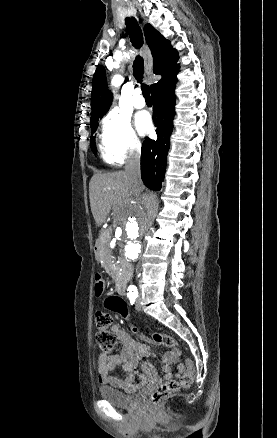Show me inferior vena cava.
<instances>
[{"instance_id": "602c4592", "label": "inferior vena cava", "mask_w": 277, "mask_h": 438, "mask_svg": "<svg viewBox=\"0 0 277 438\" xmlns=\"http://www.w3.org/2000/svg\"><path fill=\"white\" fill-rule=\"evenodd\" d=\"M125 172L131 188H134V190L142 188L139 152H134V154L129 156L128 160H126Z\"/></svg>"}]
</instances>
